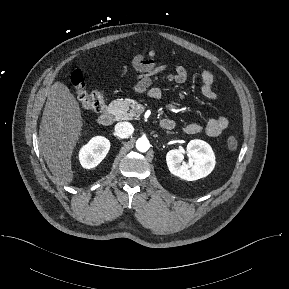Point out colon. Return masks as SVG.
<instances>
[{
	"instance_id": "5ec220e1",
	"label": "colon",
	"mask_w": 289,
	"mask_h": 289,
	"mask_svg": "<svg viewBox=\"0 0 289 289\" xmlns=\"http://www.w3.org/2000/svg\"><path fill=\"white\" fill-rule=\"evenodd\" d=\"M153 56V52H149ZM71 83L75 90V95L80 104L87 110L100 112L105 108V99L100 91H89L85 87L83 76L80 71L73 72L71 76ZM238 141L234 136L227 139V147L233 151L237 148Z\"/></svg>"
}]
</instances>
